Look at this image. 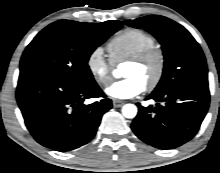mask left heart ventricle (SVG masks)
<instances>
[{"label": "left heart ventricle", "instance_id": "1", "mask_svg": "<svg viewBox=\"0 0 220 173\" xmlns=\"http://www.w3.org/2000/svg\"><path fill=\"white\" fill-rule=\"evenodd\" d=\"M155 66L148 64L146 66H138L127 63L124 68V77L138 78L144 85L150 81L154 74Z\"/></svg>", "mask_w": 220, "mask_h": 173}]
</instances>
